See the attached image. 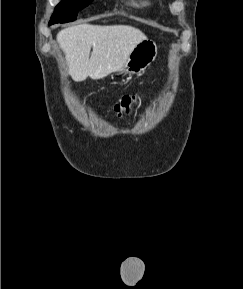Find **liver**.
I'll return each mask as SVG.
<instances>
[{"mask_svg":"<svg viewBox=\"0 0 243 289\" xmlns=\"http://www.w3.org/2000/svg\"><path fill=\"white\" fill-rule=\"evenodd\" d=\"M145 39L142 31L128 25L79 24L57 34L68 73L77 82L88 76L93 80L103 79L121 70L134 47Z\"/></svg>","mask_w":243,"mask_h":289,"instance_id":"obj_1","label":"liver"}]
</instances>
